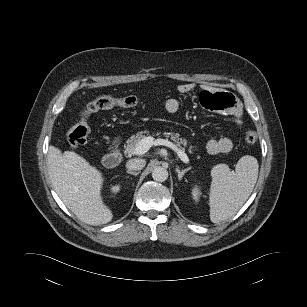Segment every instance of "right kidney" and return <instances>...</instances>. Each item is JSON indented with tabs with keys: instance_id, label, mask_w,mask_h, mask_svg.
<instances>
[{
	"instance_id": "1",
	"label": "right kidney",
	"mask_w": 307,
	"mask_h": 307,
	"mask_svg": "<svg viewBox=\"0 0 307 307\" xmlns=\"http://www.w3.org/2000/svg\"><path fill=\"white\" fill-rule=\"evenodd\" d=\"M119 190H120V186L119 185H114V186L111 187V191L113 193H117V192H119Z\"/></svg>"
}]
</instances>
